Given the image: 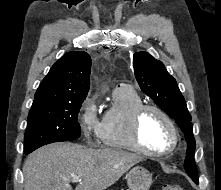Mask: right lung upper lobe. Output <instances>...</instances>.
I'll use <instances>...</instances> for the list:
<instances>
[{
    "instance_id": "right-lung-upper-lobe-1",
    "label": "right lung upper lobe",
    "mask_w": 221,
    "mask_h": 190,
    "mask_svg": "<svg viewBox=\"0 0 221 190\" xmlns=\"http://www.w3.org/2000/svg\"><path fill=\"white\" fill-rule=\"evenodd\" d=\"M91 58L84 51L64 54L39 85L32 106L84 101L90 88Z\"/></svg>"
}]
</instances>
